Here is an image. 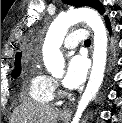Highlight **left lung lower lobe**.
Instances as JSON below:
<instances>
[{
  "mask_svg": "<svg viewBox=\"0 0 122 123\" xmlns=\"http://www.w3.org/2000/svg\"><path fill=\"white\" fill-rule=\"evenodd\" d=\"M105 22H106V25H107V29L109 30V32H110V35H111V24H110V21H109V19H108V17L107 16H105ZM115 45V44H114Z\"/></svg>",
  "mask_w": 122,
  "mask_h": 123,
  "instance_id": "left-lung-lower-lobe-1",
  "label": "left lung lower lobe"
}]
</instances>
